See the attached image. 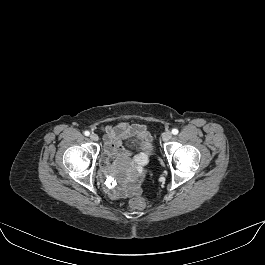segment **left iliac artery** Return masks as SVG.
Masks as SVG:
<instances>
[{
	"instance_id": "1",
	"label": "left iliac artery",
	"mask_w": 265,
	"mask_h": 265,
	"mask_svg": "<svg viewBox=\"0 0 265 265\" xmlns=\"http://www.w3.org/2000/svg\"><path fill=\"white\" fill-rule=\"evenodd\" d=\"M178 132H179L178 129H176V128L172 129V134L177 135Z\"/></svg>"
}]
</instances>
